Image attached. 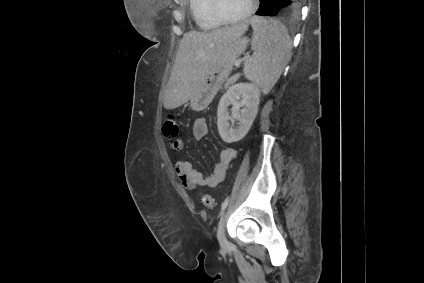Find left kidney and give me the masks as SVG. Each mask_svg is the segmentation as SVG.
Listing matches in <instances>:
<instances>
[{"label": "left kidney", "mask_w": 424, "mask_h": 283, "mask_svg": "<svg viewBox=\"0 0 424 283\" xmlns=\"http://www.w3.org/2000/svg\"><path fill=\"white\" fill-rule=\"evenodd\" d=\"M260 103V90L252 83H238L230 87L218 105V131L224 142L240 141L251 128ZM232 105L231 115L228 106ZM242 108V109H241ZM230 121H239L238 127H230Z\"/></svg>", "instance_id": "1"}]
</instances>
